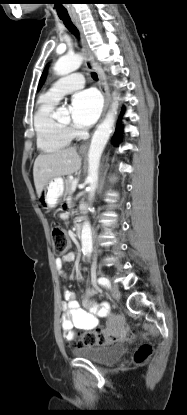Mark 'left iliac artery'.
Returning <instances> with one entry per match:
<instances>
[{"instance_id":"left-iliac-artery-1","label":"left iliac artery","mask_w":187,"mask_h":415,"mask_svg":"<svg viewBox=\"0 0 187 415\" xmlns=\"http://www.w3.org/2000/svg\"><path fill=\"white\" fill-rule=\"evenodd\" d=\"M98 283L101 284V285H103V286H105V287H107V288H110L111 287V284H110L109 280L107 278H105V277H100L98 279Z\"/></svg>"}]
</instances>
